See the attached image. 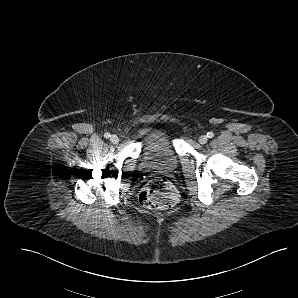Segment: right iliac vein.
Segmentation results:
<instances>
[{
    "instance_id": "1",
    "label": "right iliac vein",
    "mask_w": 298,
    "mask_h": 298,
    "mask_svg": "<svg viewBox=\"0 0 298 298\" xmlns=\"http://www.w3.org/2000/svg\"><path fill=\"white\" fill-rule=\"evenodd\" d=\"M110 141L113 143V144H117L119 142V137L117 135H112L110 137Z\"/></svg>"
}]
</instances>
